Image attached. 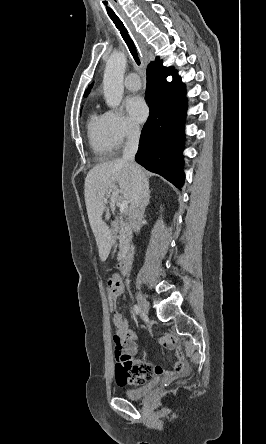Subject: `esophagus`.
<instances>
[{
	"mask_svg": "<svg viewBox=\"0 0 266 444\" xmlns=\"http://www.w3.org/2000/svg\"><path fill=\"white\" fill-rule=\"evenodd\" d=\"M115 6L117 8V10L119 11V13L121 14V16L125 19L126 23L128 24V26L132 29V26L130 24V21L127 19V17L125 16L124 12L121 10V8L119 7V5L117 3H115Z\"/></svg>",
	"mask_w": 266,
	"mask_h": 444,
	"instance_id": "obj_1",
	"label": "esophagus"
}]
</instances>
